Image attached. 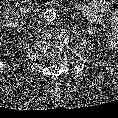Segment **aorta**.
Listing matches in <instances>:
<instances>
[{
  "instance_id": "obj_1",
  "label": "aorta",
  "mask_w": 118,
  "mask_h": 118,
  "mask_svg": "<svg viewBox=\"0 0 118 118\" xmlns=\"http://www.w3.org/2000/svg\"><path fill=\"white\" fill-rule=\"evenodd\" d=\"M56 11L54 9H48L43 13V18L47 22H52L56 19Z\"/></svg>"
}]
</instances>
